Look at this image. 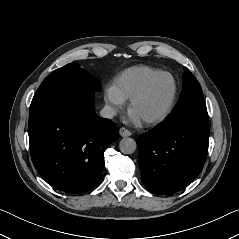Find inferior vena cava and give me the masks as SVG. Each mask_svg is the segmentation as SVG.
Instances as JSON below:
<instances>
[{
    "label": "inferior vena cava",
    "instance_id": "obj_1",
    "mask_svg": "<svg viewBox=\"0 0 239 239\" xmlns=\"http://www.w3.org/2000/svg\"><path fill=\"white\" fill-rule=\"evenodd\" d=\"M100 115L103 118H113L116 115V110L113 107L106 105L100 111Z\"/></svg>",
    "mask_w": 239,
    "mask_h": 239
}]
</instances>
